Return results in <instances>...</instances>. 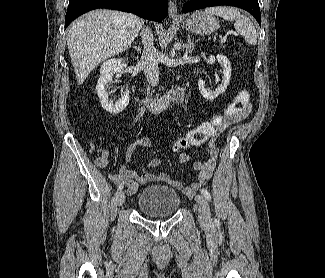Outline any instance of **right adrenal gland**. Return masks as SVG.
<instances>
[{"label":"right adrenal gland","instance_id":"right-adrenal-gland-1","mask_svg":"<svg viewBox=\"0 0 325 278\" xmlns=\"http://www.w3.org/2000/svg\"><path fill=\"white\" fill-rule=\"evenodd\" d=\"M134 49H136L137 52L141 53V47L140 46H134Z\"/></svg>","mask_w":325,"mask_h":278}]
</instances>
